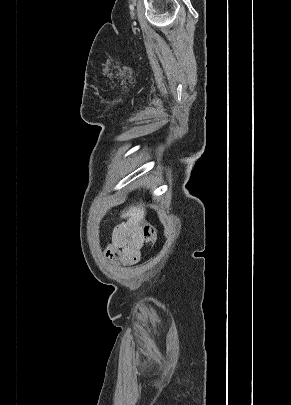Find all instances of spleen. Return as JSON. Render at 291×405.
Returning a JSON list of instances; mask_svg holds the SVG:
<instances>
[{
    "label": "spleen",
    "mask_w": 291,
    "mask_h": 405,
    "mask_svg": "<svg viewBox=\"0 0 291 405\" xmlns=\"http://www.w3.org/2000/svg\"><path fill=\"white\" fill-rule=\"evenodd\" d=\"M145 216V209L140 204L138 206L129 207L128 211L124 213L123 217H130L131 219L143 220Z\"/></svg>",
    "instance_id": "obj_1"
}]
</instances>
